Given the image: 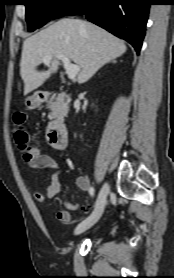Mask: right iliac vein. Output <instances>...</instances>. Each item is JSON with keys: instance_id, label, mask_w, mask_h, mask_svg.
<instances>
[{"instance_id": "1", "label": "right iliac vein", "mask_w": 174, "mask_h": 278, "mask_svg": "<svg viewBox=\"0 0 174 278\" xmlns=\"http://www.w3.org/2000/svg\"><path fill=\"white\" fill-rule=\"evenodd\" d=\"M108 193H109V186L107 183H105L98 194L97 201H96L93 212L91 213V215L88 218H86L83 222H81L76 227L75 235L83 233L84 231H86L87 229L92 227L100 219V217L104 211Z\"/></svg>"}]
</instances>
